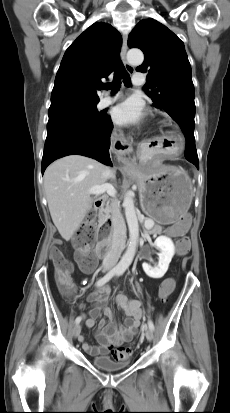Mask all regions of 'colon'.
<instances>
[{"label": "colon", "mask_w": 230, "mask_h": 413, "mask_svg": "<svg viewBox=\"0 0 230 413\" xmlns=\"http://www.w3.org/2000/svg\"><path fill=\"white\" fill-rule=\"evenodd\" d=\"M188 216H182L174 226L182 233L189 225ZM95 240L94 234V213L89 212L87 222L81 227L80 231L74 239V247L77 249V258L84 270L92 269L96 265V258L91 253L90 247ZM191 246V241L187 236H181L178 242L177 257L185 258L187 256V248ZM50 258L54 266L55 275L60 288L64 292H71L73 290V283L70 278L72 271L71 263L67 260L63 252L55 245L50 250ZM176 275L170 274L169 278H162L160 282L159 296L165 300L172 290L175 289ZM126 353H131V348L123 349Z\"/></svg>", "instance_id": "5ec220e1"}]
</instances>
